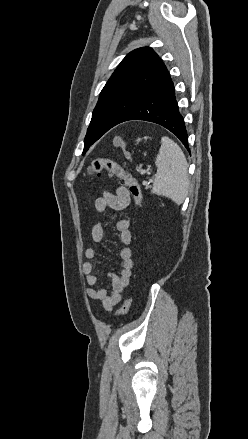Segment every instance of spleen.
<instances>
[{"instance_id": "spleen-1", "label": "spleen", "mask_w": 248, "mask_h": 439, "mask_svg": "<svg viewBox=\"0 0 248 439\" xmlns=\"http://www.w3.org/2000/svg\"><path fill=\"white\" fill-rule=\"evenodd\" d=\"M155 164L157 173L151 192L182 204L189 189L188 164L182 149L170 138L162 137Z\"/></svg>"}]
</instances>
